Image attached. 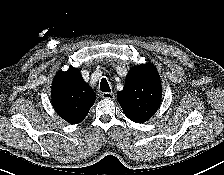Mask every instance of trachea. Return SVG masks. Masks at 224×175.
Here are the masks:
<instances>
[{"label": "trachea", "instance_id": "3493384b", "mask_svg": "<svg viewBox=\"0 0 224 175\" xmlns=\"http://www.w3.org/2000/svg\"><path fill=\"white\" fill-rule=\"evenodd\" d=\"M100 89L102 92H111L110 86L105 78H102L100 82Z\"/></svg>", "mask_w": 224, "mask_h": 175}]
</instances>
